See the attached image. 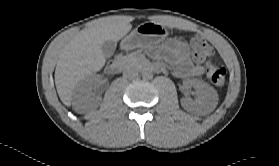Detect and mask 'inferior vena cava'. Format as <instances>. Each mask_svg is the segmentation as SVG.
Wrapping results in <instances>:
<instances>
[{"label":"inferior vena cava","instance_id":"inferior-vena-cava-1","mask_svg":"<svg viewBox=\"0 0 279 166\" xmlns=\"http://www.w3.org/2000/svg\"><path fill=\"white\" fill-rule=\"evenodd\" d=\"M124 77L126 78H135L138 76V72L134 69H129L123 73Z\"/></svg>","mask_w":279,"mask_h":166}]
</instances>
